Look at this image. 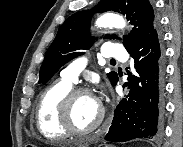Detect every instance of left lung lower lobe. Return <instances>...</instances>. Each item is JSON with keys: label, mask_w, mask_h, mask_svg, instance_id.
Here are the masks:
<instances>
[{"label": "left lung lower lobe", "mask_w": 183, "mask_h": 147, "mask_svg": "<svg viewBox=\"0 0 183 147\" xmlns=\"http://www.w3.org/2000/svg\"><path fill=\"white\" fill-rule=\"evenodd\" d=\"M127 51L137 74L129 77L130 97L117 105L107 141L153 138L162 131L165 63L159 25Z\"/></svg>", "instance_id": "obj_1"}]
</instances>
